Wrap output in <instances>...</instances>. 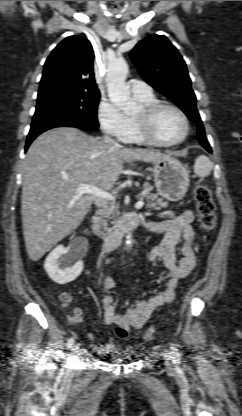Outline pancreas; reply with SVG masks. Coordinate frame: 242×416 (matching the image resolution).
<instances>
[{
  "mask_svg": "<svg viewBox=\"0 0 242 416\" xmlns=\"http://www.w3.org/2000/svg\"><path fill=\"white\" fill-rule=\"evenodd\" d=\"M152 187L149 184L144 185L145 194L139 195L140 199H145L147 201L146 207L160 210L161 208H166L168 205L167 201H164L162 198L158 197L157 194L151 193ZM120 215L118 208L114 203L104 204L102 208L98 210L96 215L92 218L93 229L96 233L101 234L100 229H108V221L111 220L113 225H116L120 222L118 216Z\"/></svg>",
  "mask_w": 242,
  "mask_h": 416,
  "instance_id": "cf45deb5",
  "label": "pancreas"
}]
</instances>
